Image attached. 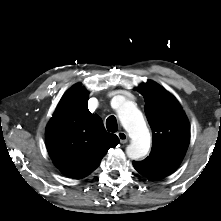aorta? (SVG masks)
I'll return each mask as SVG.
<instances>
[{
    "label": "aorta",
    "instance_id": "762f6f07",
    "mask_svg": "<svg viewBox=\"0 0 221 221\" xmlns=\"http://www.w3.org/2000/svg\"><path fill=\"white\" fill-rule=\"evenodd\" d=\"M117 114L131 138V143L126 148V154L135 160L145 156L149 152L151 139L141 111L133 102L123 99L117 107Z\"/></svg>",
    "mask_w": 221,
    "mask_h": 221
}]
</instances>
